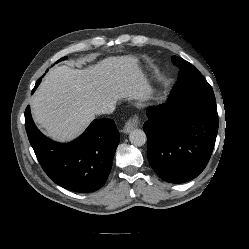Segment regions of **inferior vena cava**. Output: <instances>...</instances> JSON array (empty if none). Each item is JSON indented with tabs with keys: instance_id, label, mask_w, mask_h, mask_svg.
<instances>
[{
	"instance_id": "602c4592",
	"label": "inferior vena cava",
	"mask_w": 249,
	"mask_h": 249,
	"mask_svg": "<svg viewBox=\"0 0 249 249\" xmlns=\"http://www.w3.org/2000/svg\"><path fill=\"white\" fill-rule=\"evenodd\" d=\"M115 106L113 103H104L98 110L97 114H110L114 111Z\"/></svg>"
}]
</instances>
